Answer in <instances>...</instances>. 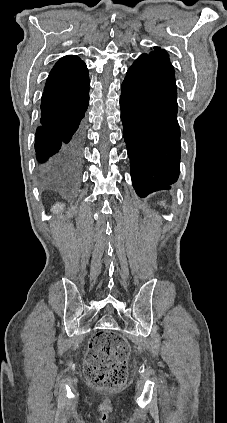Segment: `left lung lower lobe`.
Returning a JSON list of instances; mask_svg holds the SVG:
<instances>
[{"mask_svg": "<svg viewBox=\"0 0 227 423\" xmlns=\"http://www.w3.org/2000/svg\"><path fill=\"white\" fill-rule=\"evenodd\" d=\"M123 136L140 197L169 190L179 175L177 108L153 82L127 73L120 98Z\"/></svg>", "mask_w": 227, "mask_h": 423, "instance_id": "obj_1", "label": "left lung lower lobe"}]
</instances>
